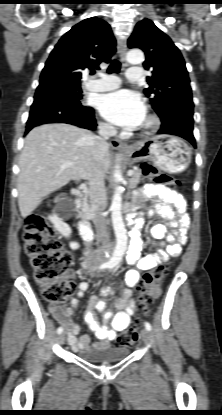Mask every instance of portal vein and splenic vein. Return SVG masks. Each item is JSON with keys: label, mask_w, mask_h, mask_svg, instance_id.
I'll return each instance as SVG.
<instances>
[{"label": "portal vein and splenic vein", "mask_w": 222, "mask_h": 415, "mask_svg": "<svg viewBox=\"0 0 222 415\" xmlns=\"http://www.w3.org/2000/svg\"><path fill=\"white\" fill-rule=\"evenodd\" d=\"M72 165H73L72 162H70V161H64L63 164H62V166H61V168L71 167ZM132 174H133V170H129L128 171V176H132Z\"/></svg>", "instance_id": "1"}]
</instances>
